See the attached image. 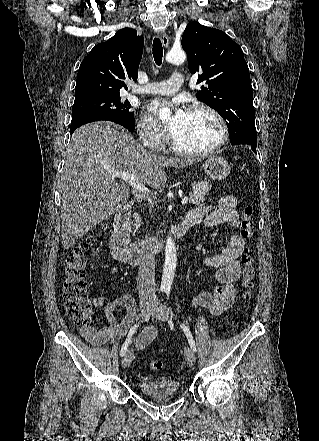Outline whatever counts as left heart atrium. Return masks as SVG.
<instances>
[{
  "label": "left heart atrium",
  "mask_w": 319,
  "mask_h": 441,
  "mask_svg": "<svg viewBox=\"0 0 319 441\" xmlns=\"http://www.w3.org/2000/svg\"><path fill=\"white\" fill-rule=\"evenodd\" d=\"M167 104H169V103H167V102H159V101L153 102L151 104V106H150V109H151V111L153 113L156 114V113L159 112V110L161 108H163ZM170 104L174 107V112H173V115H172L171 119L167 123V129L170 132V134L172 135L174 133V131L176 130L177 126L179 125V123L185 117L187 112L179 107V102L178 101H173Z\"/></svg>",
  "instance_id": "obj_1"
}]
</instances>
